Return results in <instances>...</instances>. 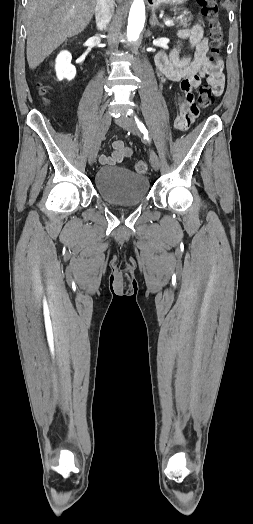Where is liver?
<instances>
[{
	"label": "liver",
	"mask_w": 253,
	"mask_h": 524,
	"mask_svg": "<svg viewBox=\"0 0 253 524\" xmlns=\"http://www.w3.org/2000/svg\"><path fill=\"white\" fill-rule=\"evenodd\" d=\"M97 0H29L26 7L27 61L38 67L68 37L90 23ZM121 2V0H119Z\"/></svg>",
	"instance_id": "1"
}]
</instances>
